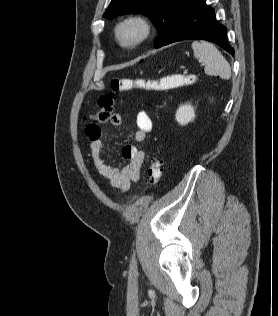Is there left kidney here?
I'll use <instances>...</instances> for the list:
<instances>
[{
    "instance_id": "obj_1",
    "label": "left kidney",
    "mask_w": 278,
    "mask_h": 316,
    "mask_svg": "<svg viewBox=\"0 0 278 316\" xmlns=\"http://www.w3.org/2000/svg\"><path fill=\"white\" fill-rule=\"evenodd\" d=\"M195 118V111L192 105L185 104L181 105L176 111V121L180 125H186L189 122L193 121Z\"/></svg>"
}]
</instances>
